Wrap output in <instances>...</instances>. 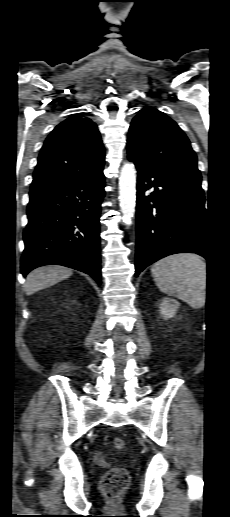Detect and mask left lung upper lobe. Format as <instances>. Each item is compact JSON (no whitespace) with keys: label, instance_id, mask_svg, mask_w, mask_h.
I'll list each match as a JSON object with an SVG mask.
<instances>
[{"label":"left lung upper lobe","instance_id":"obj_1","mask_svg":"<svg viewBox=\"0 0 230 517\" xmlns=\"http://www.w3.org/2000/svg\"><path fill=\"white\" fill-rule=\"evenodd\" d=\"M128 156L159 170L201 179L197 157L179 126L163 112L147 107L130 125Z\"/></svg>","mask_w":230,"mask_h":517}]
</instances>
